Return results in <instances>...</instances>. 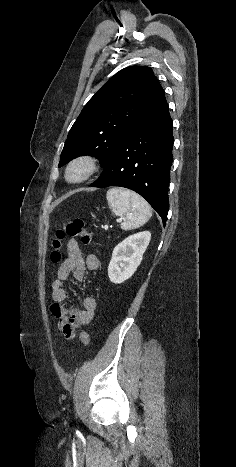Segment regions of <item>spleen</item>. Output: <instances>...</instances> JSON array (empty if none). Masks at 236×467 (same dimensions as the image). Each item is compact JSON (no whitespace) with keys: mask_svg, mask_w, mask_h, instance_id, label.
Wrapping results in <instances>:
<instances>
[{"mask_svg":"<svg viewBox=\"0 0 236 467\" xmlns=\"http://www.w3.org/2000/svg\"><path fill=\"white\" fill-rule=\"evenodd\" d=\"M106 198L112 212L124 217L123 230H131L144 225L152 216V210L144 198L123 188H111Z\"/></svg>","mask_w":236,"mask_h":467,"instance_id":"1","label":"spleen"}]
</instances>
